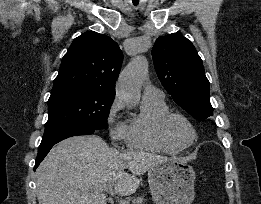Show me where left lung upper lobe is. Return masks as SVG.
<instances>
[{
  "label": "left lung upper lobe",
  "mask_w": 261,
  "mask_h": 204,
  "mask_svg": "<svg viewBox=\"0 0 261 204\" xmlns=\"http://www.w3.org/2000/svg\"><path fill=\"white\" fill-rule=\"evenodd\" d=\"M152 57L163 87L181 108L197 120L213 115L202 60L187 38L178 33L157 38Z\"/></svg>",
  "instance_id": "left-lung-upper-lobe-1"
}]
</instances>
